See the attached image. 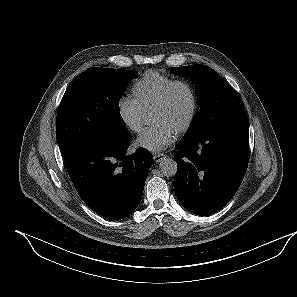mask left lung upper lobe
<instances>
[{
  "instance_id": "left-lung-upper-lobe-1",
  "label": "left lung upper lobe",
  "mask_w": 297,
  "mask_h": 297,
  "mask_svg": "<svg viewBox=\"0 0 297 297\" xmlns=\"http://www.w3.org/2000/svg\"><path fill=\"white\" fill-rule=\"evenodd\" d=\"M170 71L189 77L195 84L198 97L199 109L183 138L245 114L236 92L212 68L195 64L172 67Z\"/></svg>"
}]
</instances>
